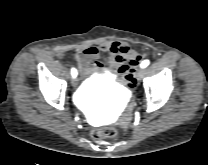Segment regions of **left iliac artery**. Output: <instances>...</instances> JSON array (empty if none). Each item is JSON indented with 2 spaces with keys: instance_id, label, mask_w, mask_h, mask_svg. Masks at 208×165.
<instances>
[{
  "instance_id": "obj_1",
  "label": "left iliac artery",
  "mask_w": 208,
  "mask_h": 165,
  "mask_svg": "<svg viewBox=\"0 0 208 165\" xmlns=\"http://www.w3.org/2000/svg\"><path fill=\"white\" fill-rule=\"evenodd\" d=\"M149 60H144L142 63H141V68H145V67H147L148 65H149Z\"/></svg>"
}]
</instances>
